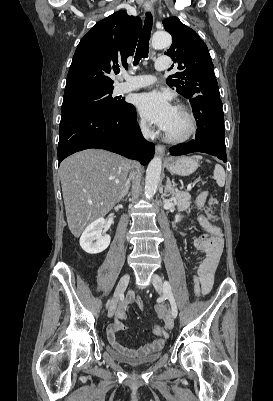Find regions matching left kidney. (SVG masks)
Segmentation results:
<instances>
[{
	"label": "left kidney",
	"mask_w": 273,
	"mask_h": 401,
	"mask_svg": "<svg viewBox=\"0 0 273 401\" xmlns=\"http://www.w3.org/2000/svg\"><path fill=\"white\" fill-rule=\"evenodd\" d=\"M178 221H180V215H176L175 217V223H178Z\"/></svg>",
	"instance_id": "obj_1"
}]
</instances>
